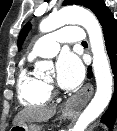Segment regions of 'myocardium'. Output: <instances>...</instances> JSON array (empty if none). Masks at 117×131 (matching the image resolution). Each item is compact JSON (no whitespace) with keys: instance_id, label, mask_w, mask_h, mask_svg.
<instances>
[{"instance_id":"obj_1","label":"myocardium","mask_w":117,"mask_h":131,"mask_svg":"<svg viewBox=\"0 0 117 131\" xmlns=\"http://www.w3.org/2000/svg\"><path fill=\"white\" fill-rule=\"evenodd\" d=\"M49 85H51L52 84V81H50V80H48V81H46Z\"/></svg>"}]
</instances>
